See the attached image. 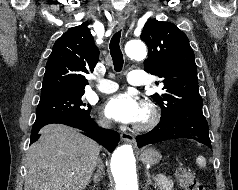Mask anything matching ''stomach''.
<instances>
[{"instance_id": "1", "label": "stomach", "mask_w": 238, "mask_h": 190, "mask_svg": "<svg viewBox=\"0 0 238 190\" xmlns=\"http://www.w3.org/2000/svg\"><path fill=\"white\" fill-rule=\"evenodd\" d=\"M162 159V155L153 148H145L140 153V160L147 165H155Z\"/></svg>"}]
</instances>
